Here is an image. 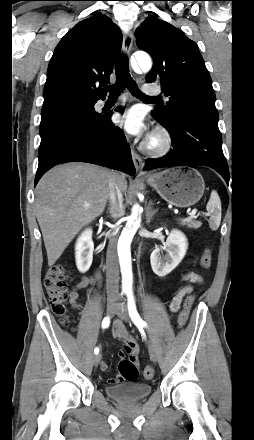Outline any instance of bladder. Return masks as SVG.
I'll return each instance as SVG.
<instances>
[{"label": "bladder", "instance_id": "31cf9c89", "mask_svg": "<svg viewBox=\"0 0 254 440\" xmlns=\"http://www.w3.org/2000/svg\"><path fill=\"white\" fill-rule=\"evenodd\" d=\"M107 395L122 403H135L143 400L152 393V386L144 382H133L107 386Z\"/></svg>", "mask_w": 254, "mask_h": 440}]
</instances>
